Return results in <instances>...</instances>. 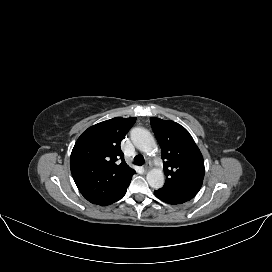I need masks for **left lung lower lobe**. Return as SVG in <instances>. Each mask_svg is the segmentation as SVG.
I'll use <instances>...</instances> for the list:
<instances>
[{"label": "left lung lower lobe", "instance_id": "0a47b994", "mask_svg": "<svg viewBox=\"0 0 272 272\" xmlns=\"http://www.w3.org/2000/svg\"><path fill=\"white\" fill-rule=\"evenodd\" d=\"M154 194L157 198L169 204H182L191 200L196 195L192 193L167 190L163 188L154 191Z\"/></svg>", "mask_w": 272, "mask_h": 272}]
</instances>
